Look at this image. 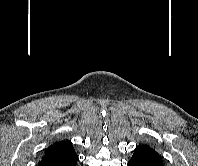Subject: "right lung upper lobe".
<instances>
[{"instance_id":"1","label":"right lung upper lobe","mask_w":198,"mask_h":166,"mask_svg":"<svg viewBox=\"0 0 198 166\" xmlns=\"http://www.w3.org/2000/svg\"><path fill=\"white\" fill-rule=\"evenodd\" d=\"M75 155L72 143L69 140H62L50 145L41 161L61 160Z\"/></svg>"}]
</instances>
